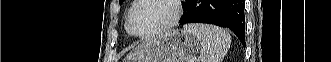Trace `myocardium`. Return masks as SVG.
<instances>
[{"mask_svg": "<svg viewBox=\"0 0 331 62\" xmlns=\"http://www.w3.org/2000/svg\"><path fill=\"white\" fill-rule=\"evenodd\" d=\"M144 0H135L132 4V6L130 7L128 13H127V18H126V25H127V29L129 31V33L135 37H138V38H150L152 36H155V35H158V34H161L171 28H173L177 23L178 21L180 20L181 18V15H182V5H181V1L179 0H169L173 7H174V10H175V13L173 15V17L166 23L164 24L163 26L155 29V30H152L150 32H146V33H138L135 31L134 27H133V24H132V14H133V11L135 10V8Z\"/></svg>", "mask_w": 331, "mask_h": 62, "instance_id": "obj_1", "label": "myocardium"}]
</instances>
